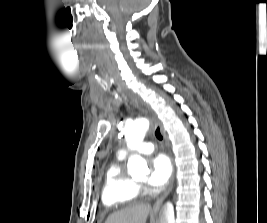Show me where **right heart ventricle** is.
<instances>
[{
    "mask_svg": "<svg viewBox=\"0 0 267 223\" xmlns=\"http://www.w3.org/2000/svg\"><path fill=\"white\" fill-rule=\"evenodd\" d=\"M122 161L123 157L119 155L105 173L101 201L110 208L132 202L138 197V187L125 174Z\"/></svg>",
    "mask_w": 267,
    "mask_h": 223,
    "instance_id": "right-heart-ventricle-1",
    "label": "right heart ventricle"
}]
</instances>
